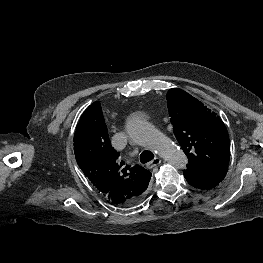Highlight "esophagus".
Returning a JSON list of instances; mask_svg holds the SVG:
<instances>
[{
  "label": "esophagus",
  "mask_w": 263,
  "mask_h": 263,
  "mask_svg": "<svg viewBox=\"0 0 263 263\" xmlns=\"http://www.w3.org/2000/svg\"><path fill=\"white\" fill-rule=\"evenodd\" d=\"M161 163V159L159 157H155L151 162L147 164L148 169H153Z\"/></svg>",
  "instance_id": "esophagus-1"
}]
</instances>
